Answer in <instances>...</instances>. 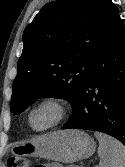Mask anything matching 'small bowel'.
Masks as SVG:
<instances>
[{
    "instance_id": "obj_1",
    "label": "small bowel",
    "mask_w": 125,
    "mask_h": 167,
    "mask_svg": "<svg viewBox=\"0 0 125 167\" xmlns=\"http://www.w3.org/2000/svg\"><path fill=\"white\" fill-rule=\"evenodd\" d=\"M37 167H59L55 164H44V165H37Z\"/></svg>"
}]
</instances>
